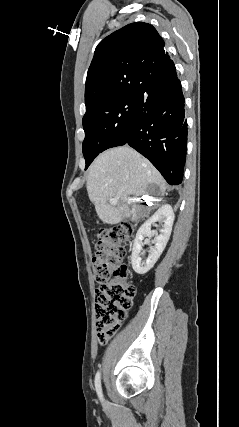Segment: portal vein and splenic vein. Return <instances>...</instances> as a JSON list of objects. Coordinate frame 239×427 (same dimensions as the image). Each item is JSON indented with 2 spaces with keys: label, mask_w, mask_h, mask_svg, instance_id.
Listing matches in <instances>:
<instances>
[{
  "label": "portal vein and splenic vein",
  "mask_w": 239,
  "mask_h": 427,
  "mask_svg": "<svg viewBox=\"0 0 239 427\" xmlns=\"http://www.w3.org/2000/svg\"><path fill=\"white\" fill-rule=\"evenodd\" d=\"M134 201H135V199H134V198H129V199H128V203H132V202H134ZM109 202H110V204H117L118 199H117V198H110Z\"/></svg>",
  "instance_id": "portal-vein-and-splenic-vein-1"
}]
</instances>
